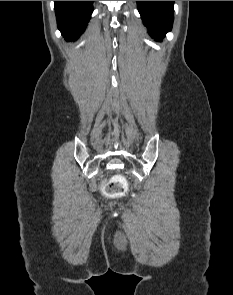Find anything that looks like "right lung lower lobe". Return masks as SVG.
I'll return each mask as SVG.
<instances>
[{"label":"right lung lower lobe","mask_w":233,"mask_h":295,"mask_svg":"<svg viewBox=\"0 0 233 295\" xmlns=\"http://www.w3.org/2000/svg\"><path fill=\"white\" fill-rule=\"evenodd\" d=\"M58 28L66 40L83 33L93 11V1H54Z\"/></svg>","instance_id":"98d812e1"}]
</instances>
